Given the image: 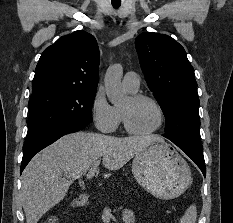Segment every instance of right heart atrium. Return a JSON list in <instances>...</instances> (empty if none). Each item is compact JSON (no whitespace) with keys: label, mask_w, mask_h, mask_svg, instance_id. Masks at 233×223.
Here are the masks:
<instances>
[{"label":"right heart atrium","mask_w":233,"mask_h":223,"mask_svg":"<svg viewBox=\"0 0 233 223\" xmlns=\"http://www.w3.org/2000/svg\"><path fill=\"white\" fill-rule=\"evenodd\" d=\"M91 116L95 127L103 133L115 132L121 122L117 109L107 101L102 91H97L94 95Z\"/></svg>","instance_id":"right-heart-atrium-1"}]
</instances>
